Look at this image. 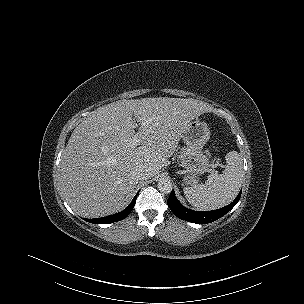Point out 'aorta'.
<instances>
[{"label": "aorta", "instance_id": "1", "mask_svg": "<svg viewBox=\"0 0 304 304\" xmlns=\"http://www.w3.org/2000/svg\"><path fill=\"white\" fill-rule=\"evenodd\" d=\"M158 189L162 193L169 194L173 189L172 182L168 178H160L158 181Z\"/></svg>", "mask_w": 304, "mask_h": 304}]
</instances>
